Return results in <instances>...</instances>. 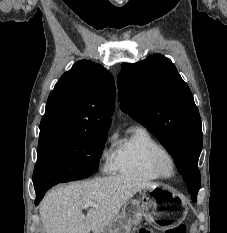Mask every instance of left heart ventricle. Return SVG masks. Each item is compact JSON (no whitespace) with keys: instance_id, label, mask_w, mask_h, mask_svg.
Here are the masks:
<instances>
[{"instance_id":"b2bd125f","label":"left heart ventricle","mask_w":227,"mask_h":233,"mask_svg":"<svg viewBox=\"0 0 227 233\" xmlns=\"http://www.w3.org/2000/svg\"><path fill=\"white\" fill-rule=\"evenodd\" d=\"M165 168H166V170H167V171H169V169H170V165H169V163H168V162H166V163H165Z\"/></svg>"}]
</instances>
